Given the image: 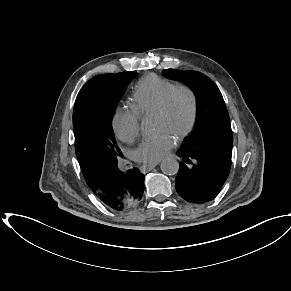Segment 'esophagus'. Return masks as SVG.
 I'll return each mask as SVG.
<instances>
[{"instance_id": "esophagus-1", "label": "esophagus", "mask_w": 291, "mask_h": 291, "mask_svg": "<svg viewBox=\"0 0 291 291\" xmlns=\"http://www.w3.org/2000/svg\"><path fill=\"white\" fill-rule=\"evenodd\" d=\"M158 164H159V161L158 162H154V163H147V164L144 165V169L151 170L154 167H156Z\"/></svg>"}]
</instances>
